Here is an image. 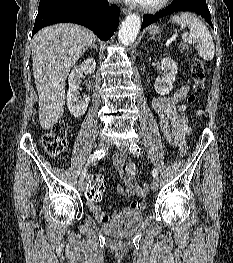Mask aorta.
Instances as JSON below:
<instances>
[{
    "label": "aorta",
    "instance_id": "obj_1",
    "mask_svg": "<svg viewBox=\"0 0 233 263\" xmlns=\"http://www.w3.org/2000/svg\"><path fill=\"white\" fill-rule=\"evenodd\" d=\"M140 27V16L137 14L128 15L119 29V41L125 46L131 45L135 41Z\"/></svg>",
    "mask_w": 233,
    "mask_h": 263
}]
</instances>
